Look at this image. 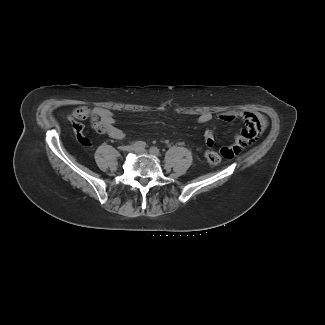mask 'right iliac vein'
Segmentation results:
<instances>
[{"label":"right iliac vein","instance_id":"1","mask_svg":"<svg viewBox=\"0 0 325 325\" xmlns=\"http://www.w3.org/2000/svg\"><path fill=\"white\" fill-rule=\"evenodd\" d=\"M134 149H135V147L129 146V145L121 147V150H123V151H133Z\"/></svg>","mask_w":325,"mask_h":325}]
</instances>
